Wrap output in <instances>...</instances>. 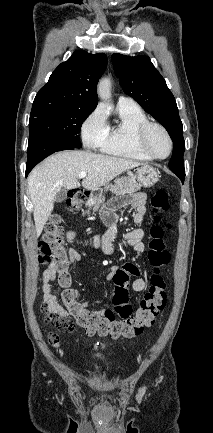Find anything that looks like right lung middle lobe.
I'll use <instances>...</instances> for the list:
<instances>
[{
    "label": "right lung middle lobe",
    "mask_w": 213,
    "mask_h": 433,
    "mask_svg": "<svg viewBox=\"0 0 213 433\" xmlns=\"http://www.w3.org/2000/svg\"><path fill=\"white\" fill-rule=\"evenodd\" d=\"M93 110L72 103L34 101L29 119V143L48 138L81 148L78 133Z\"/></svg>",
    "instance_id": "obj_1"
}]
</instances>
